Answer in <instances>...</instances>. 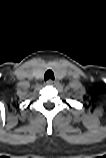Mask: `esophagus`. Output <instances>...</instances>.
<instances>
[{"label": "esophagus", "mask_w": 106, "mask_h": 158, "mask_svg": "<svg viewBox=\"0 0 106 158\" xmlns=\"http://www.w3.org/2000/svg\"><path fill=\"white\" fill-rule=\"evenodd\" d=\"M46 83H47L48 85H55V84L57 83V81H56V80H52V79H48V80L46 81Z\"/></svg>", "instance_id": "34e87169"}]
</instances>
